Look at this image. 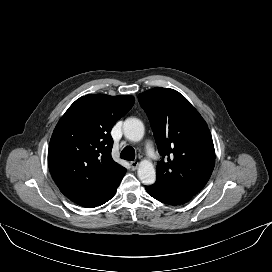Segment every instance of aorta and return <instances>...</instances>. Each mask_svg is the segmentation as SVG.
Instances as JSON below:
<instances>
[{
	"mask_svg": "<svg viewBox=\"0 0 272 272\" xmlns=\"http://www.w3.org/2000/svg\"><path fill=\"white\" fill-rule=\"evenodd\" d=\"M124 136L133 142L140 141L144 136V125L137 118H128L123 125ZM138 177L145 185H151L156 180V172L153 164L148 160L140 162L138 167Z\"/></svg>",
	"mask_w": 272,
	"mask_h": 272,
	"instance_id": "762f6f07",
	"label": "aorta"
}]
</instances>
